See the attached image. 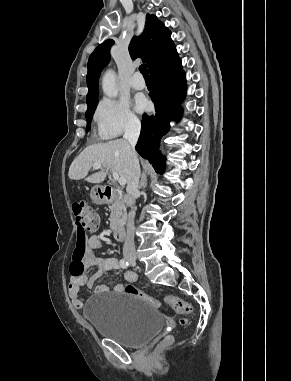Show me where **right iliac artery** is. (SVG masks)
Wrapping results in <instances>:
<instances>
[{
	"label": "right iliac artery",
	"instance_id": "1",
	"mask_svg": "<svg viewBox=\"0 0 291 381\" xmlns=\"http://www.w3.org/2000/svg\"><path fill=\"white\" fill-rule=\"evenodd\" d=\"M120 266H121L123 269H126V268H128L129 263H128V261H126L125 259H121V260H120Z\"/></svg>",
	"mask_w": 291,
	"mask_h": 381
}]
</instances>
